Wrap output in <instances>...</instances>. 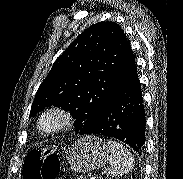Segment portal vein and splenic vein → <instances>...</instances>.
I'll list each match as a JSON object with an SVG mask.
<instances>
[{
	"instance_id": "obj_1",
	"label": "portal vein and splenic vein",
	"mask_w": 183,
	"mask_h": 179,
	"mask_svg": "<svg viewBox=\"0 0 183 179\" xmlns=\"http://www.w3.org/2000/svg\"><path fill=\"white\" fill-rule=\"evenodd\" d=\"M90 179H95V177H91Z\"/></svg>"
}]
</instances>
